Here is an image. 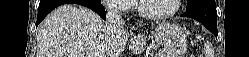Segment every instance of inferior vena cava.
Instances as JSON below:
<instances>
[{"label": "inferior vena cava", "mask_w": 249, "mask_h": 57, "mask_svg": "<svg viewBox=\"0 0 249 57\" xmlns=\"http://www.w3.org/2000/svg\"><path fill=\"white\" fill-rule=\"evenodd\" d=\"M125 21L122 19L120 12L116 9L110 8L107 12V25L111 30H116L119 27L124 26Z\"/></svg>", "instance_id": "obj_1"}]
</instances>
